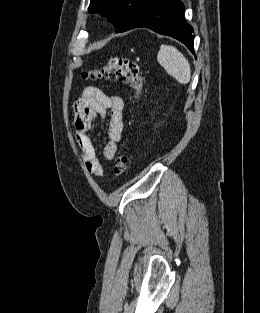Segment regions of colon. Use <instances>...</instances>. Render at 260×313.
I'll list each match as a JSON object with an SVG mask.
<instances>
[{"instance_id": "1", "label": "colon", "mask_w": 260, "mask_h": 313, "mask_svg": "<svg viewBox=\"0 0 260 313\" xmlns=\"http://www.w3.org/2000/svg\"><path fill=\"white\" fill-rule=\"evenodd\" d=\"M83 76L88 79H104L125 83L133 91L134 99L141 96L143 90V77L137 62L126 58H111L108 63L99 68L85 71ZM130 166L129 157L120 153L116 158L112 173L114 178L124 176Z\"/></svg>"}]
</instances>
